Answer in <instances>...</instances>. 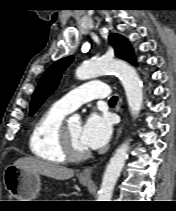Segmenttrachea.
Segmentation results:
<instances>
[{
  "instance_id": "1",
  "label": "trachea",
  "mask_w": 176,
  "mask_h": 211,
  "mask_svg": "<svg viewBox=\"0 0 176 211\" xmlns=\"http://www.w3.org/2000/svg\"><path fill=\"white\" fill-rule=\"evenodd\" d=\"M116 102H117L116 96H113V97L110 98V101H109L110 104H116Z\"/></svg>"
}]
</instances>
